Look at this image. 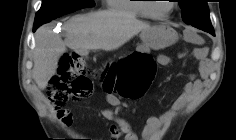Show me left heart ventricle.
<instances>
[{
	"instance_id": "left-heart-ventricle-1",
	"label": "left heart ventricle",
	"mask_w": 236,
	"mask_h": 140,
	"mask_svg": "<svg viewBox=\"0 0 236 140\" xmlns=\"http://www.w3.org/2000/svg\"><path fill=\"white\" fill-rule=\"evenodd\" d=\"M170 3L171 2L158 0L152 4V8H153L154 12H156L158 14H164L170 9V7H171Z\"/></svg>"
}]
</instances>
